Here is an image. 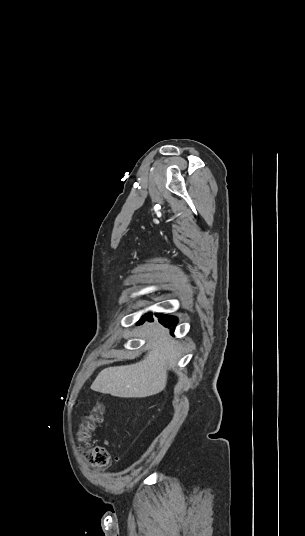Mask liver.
Masks as SVG:
<instances>
[{
	"label": "liver",
	"mask_w": 305,
	"mask_h": 536,
	"mask_svg": "<svg viewBox=\"0 0 305 536\" xmlns=\"http://www.w3.org/2000/svg\"><path fill=\"white\" fill-rule=\"evenodd\" d=\"M143 336H150L154 342L147 344L148 352L142 362L132 366L106 368L98 374L91 390L101 394H111L118 398H147L165 390L167 366H174L180 358L179 346L170 340L168 330L158 324H145Z\"/></svg>",
	"instance_id": "liver-1"
}]
</instances>
